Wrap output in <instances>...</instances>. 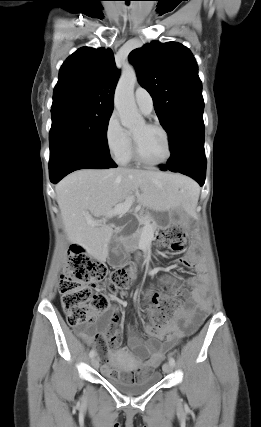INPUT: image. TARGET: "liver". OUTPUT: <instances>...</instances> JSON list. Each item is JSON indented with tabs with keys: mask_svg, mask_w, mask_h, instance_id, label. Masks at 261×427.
Returning a JSON list of instances; mask_svg holds the SVG:
<instances>
[{
	"mask_svg": "<svg viewBox=\"0 0 261 427\" xmlns=\"http://www.w3.org/2000/svg\"><path fill=\"white\" fill-rule=\"evenodd\" d=\"M195 186L190 178L179 174L127 168L82 169L62 179L55 191L68 240L105 261L113 228L105 224L91 226L88 219L106 216L131 197L153 211L191 209L196 203L188 190Z\"/></svg>",
	"mask_w": 261,
	"mask_h": 427,
	"instance_id": "liver-1",
	"label": "liver"
}]
</instances>
